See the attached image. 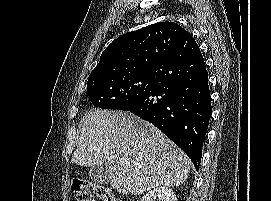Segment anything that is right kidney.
I'll return each instance as SVG.
<instances>
[{
  "instance_id": "1",
  "label": "right kidney",
  "mask_w": 271,
  "mask_h": 201,
  "mask_svg": "<svg viewBox=\"0 0 271 201\" xmlns=\"http://www.w3.org/2000/svg\"><path fill=\"white\" fill-rule=\"evenodd\" d=\"M140 201H177V198L171 188L161 186L149 191Z\"/></svg>"
}]
</instances>
